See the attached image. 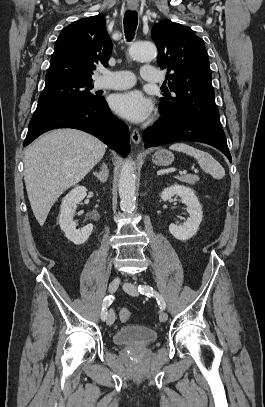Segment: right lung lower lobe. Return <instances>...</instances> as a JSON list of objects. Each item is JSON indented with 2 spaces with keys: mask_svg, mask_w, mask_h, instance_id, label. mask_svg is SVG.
<instances>
[{
  "mask_svg": "<svg viewBox=\"0 0 265 407\" xmlns=\"http://www.w3.org/2000/svg\"><path fill=\"white\" fill-rule=\"evenodd\" d=\"M57 128H75L88 132L124 157L130 150L128 126L113 116L103 97L91 104L52 110L33 116L23 145L27 146L39 135Z\"/></svg>",
  "mask_w": 265,
  "mask_h": 407,
  "instance_id": "98d812e1",
  "label": "right lung lower lobe"
}]
</instances>
